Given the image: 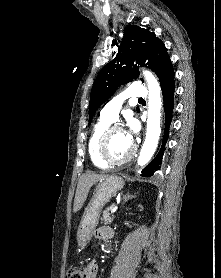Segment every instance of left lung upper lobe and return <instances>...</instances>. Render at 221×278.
I'll return each instance as SVG.
<instances>
[{"label":"left lung upper lobe","instance_id":"5c2ea615","mask_svg":"<svg viewBox=\"0 0 221 278\" xmlns=\"http://www.w3.org/2000/svg\"><path fill=\"white\" fill-rule=\"evenodd\" d=\"M170 58L163 42L154 32L138 26L124 31L116 57L99 72L91 91L89 123L95 111L117 88L139 76L137 64L148 66L158 76ZM139 112V108H137Z\"/></svg>","mask_w":221,"mask_h":278}]
</instances>
